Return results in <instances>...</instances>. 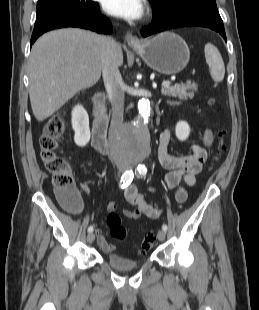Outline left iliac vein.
<instances>
[{"label":"left iliac vein","mask_w":259,"mask_h":310,"mask_svg":"<svg viewBox=\"0 0 259 310\" xmlns=\"http://www.w3.org/2000/svg\"><path fill=\"white\" fill-rule=\"evenodd\" d=\"M157 238L159 241L163 242L165 240V231L159 230L157 233Z\"/></svg>","instance_id":"left-iliac-vein-1"}]
</instances>
